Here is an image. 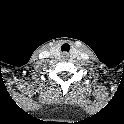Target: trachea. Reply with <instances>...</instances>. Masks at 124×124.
I'll return each instance as SVG.
<instances>
[{"instance_id":"1","label":"trachea","mask_w":124,"mask_h":124,"mask_svg":"<svg viewBox=\"0 0 124 124\" xmlns=\"http://www.w3.org/2000/svg\"><path fill=\"white\" fill-rule=\"evenodd\" d=\"M61 50H62V51L69 52V50H70V45L67 44V43H64V44L61 46Z\"/></svg>"}]
</instances>
